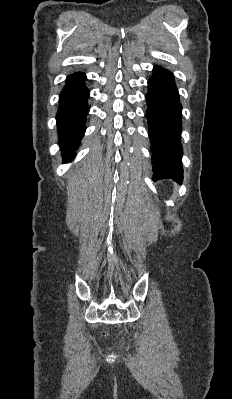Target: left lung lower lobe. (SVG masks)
Wrapping results in <instances>:
<instances>
[{
  "label": "left lung lower lobe",
  "mask_w": 232,
  "mask_h": 399,
  "mask_svg": "<svg viewBox=\"0 0 232 399\" xmlns=\"http://www.w3.org/2000/svg\"><path fill=\"white\" fill-rule=\"evenodd\" d=\"M146 117L152 149L153 180L183 181L182 105L173 74L159 66L153 69L146 94Z\"/></svg>",
  "instance_id": "obj_1"
}]
</instances>
